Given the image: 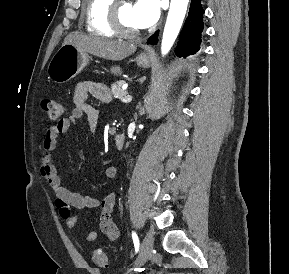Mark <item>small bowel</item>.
<instances>
[{
  "instance_id": "obj_1",
  "label": "small bowel",
  "mask_w": 289,
  "mask_h": 274,
  "mask_svg": "<svg viewBox=\"0 0 289 274\" xmlns=\"http://www.w3.org/2000/svg\"><path fill=\"white\" fill-rule=\"evenodd\" d=\"M89 97L101 101H109L111 99L110 91L104 84L90 80L78 83L74 93V107L71 115L59 120L47 130L42 144L40 172L47 184L53 189L55 206L68 228H73L79 221L78 215L74 214L73 210L100 208V230L109 240L114 241L119 236V229L113 219L116 202L115 193H109L102 200H99L89 195L73 192L62 186L55 165L57 140L61 135L69 131L74 122L85 117L89 130L91 132L96 130L99 112L88 102ZM117 173L118 170L115 166H109L105 170V176L108 180H114ZM96 238L97 232L92 230L85 236V241L93 242Z\"/></svg>"
}]
</instances>
